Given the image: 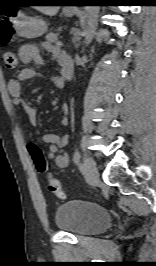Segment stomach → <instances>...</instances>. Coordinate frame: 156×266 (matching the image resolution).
Instances as JSON below:
<instances>
[{"label":"stomach","instance_id":"stomach-1","mask_svg":"<svg viewBox=\"0 0 156 266\" xmlns=\"http://www.w3.org/2000/svg\"><path fill=\"white\" fill-rule=\"evenodd\" d=\"M67 16H72L73 11L65 12ZM14 27L19 35L26 38H36L47 32V23L42 19H31L25 16H19L14 21Z\"/></svg>","mask_w":156,"mask_h":266}]
</instances>
